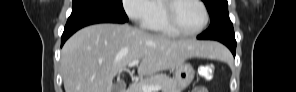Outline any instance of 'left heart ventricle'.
<instances>
[{"mask_svg": "<svg viewBox=\"0 0 296 92\" xmlns=\"http://www.w3.org/2000/svg\"><path fill=\"white\" fill-rule=\"evenodd\" d=\"M175 18L182 29L193 31L203 24L204 12L201 6L192 0L181 1L175 8Z\"/></svg>", "mask_w": 296, "mask_h": 92, "instance_id": "left-heart-ventricle-1", "label": "left heart ventricle"}]
</instances>
